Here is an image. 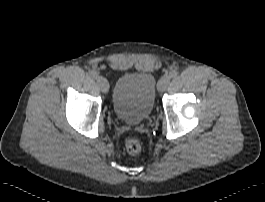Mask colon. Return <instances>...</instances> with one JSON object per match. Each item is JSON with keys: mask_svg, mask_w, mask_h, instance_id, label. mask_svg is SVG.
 I'll list each match as a JSON object with an SVG mask.
<instances>
[{"mask_svg": "<svg viewBox=\"0 0 265 202\" xmlns=\"http://www.w3.org/2000/svg\"><path fill=\"white\" fill-rule=\"evenodd\" d=\"M126 150L131 155H136L141 150V143L137 138H129L126 141Z\"/></svg>", "mask_w": 265, "mask_h": 202, "instance_id": "5ec220e1", "label": "colon"}]
</instances>
